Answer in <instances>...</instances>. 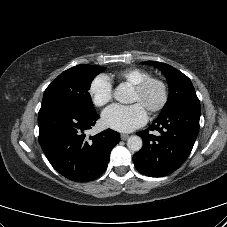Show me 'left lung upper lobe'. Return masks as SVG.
Wrapping results in <instances>:
<instances>
[{"instance_id": "5c2ea615", "label": "left lung upper lobe", "mask_w": 227, "mask_h": 227, "mask_svg": "<svg viewBox=\"0 0 227 227\" xmlns=\"http://www.w3.org/2000/svg\"><path fill=\"white\" fill-rule=\"evenodd\" d=\"M143 64L156 66L165 75L169 86V97L160 115L165 116L176 108L186 104H199L194 87L190 79L174 67L156 61H146Z\"/></svg>"}]
</instances>
